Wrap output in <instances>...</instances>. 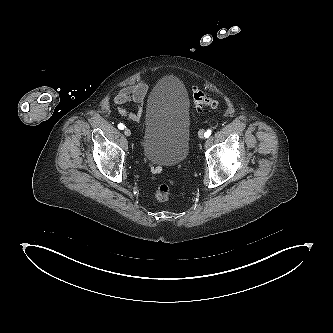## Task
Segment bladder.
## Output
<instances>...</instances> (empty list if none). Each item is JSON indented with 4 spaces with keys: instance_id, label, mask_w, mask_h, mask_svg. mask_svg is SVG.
Listing matches in <instances>:
<instances>
[{
    "instance_id": "1",
    "label": "bladder",
    "mask_w": 333,
    "mask_h": 333,
    "mask_svg": "<svg viewBox=\"0 0 333 333\" xmlns=\"http://www.w3.org/2000/svg\"><path fill=\"white\" fill-rule=\"evenodd\" d=\"M146 160L172 167L186 160L190 150V102L183 82L164 76L149 94L142 130Z\"/></svg>"
}]
</instances>
